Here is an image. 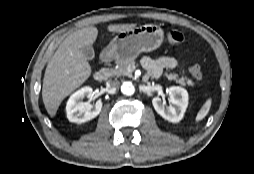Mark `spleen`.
Wrapping results in <instances>:
<instances>
[{
  "mask_svg": "<svg viewBox=\"0 0 254 174\" xmlns=\"http://www.w3.org/2000/svg\"><path fill=\"white\" fill-rule=\"evenodd\" d=\"M211 103L212 100L209 98L201 107V109L199 110L197 116H196V121H201L202 119H204L206 117V115L208 114L210 107H211Z\"/></svg>",
  "mask_w": 254,
  "mask_h": 174,
  "instance_id": "spleen-1",
  "label": "spleen"
}]
</instances>
